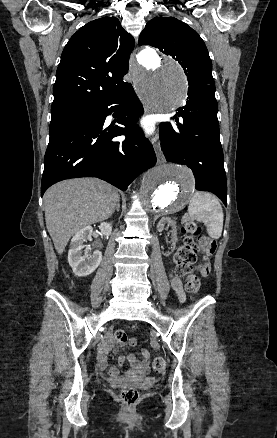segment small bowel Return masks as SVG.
<instances>
[{
  "label": "small bowel",
  "mask_w": 277,
  "mask_h": 438,
  "mask_svg": "<svg viewBox=\"0 0 277 438\" xmlns=\"http://www.w3.org/2000/svg\"><path fill=\"white\" fill-rule=\"evenodd\" d=\"M171 284H172V287L174 288V290L176 291L179 299L182 301L184 299V292H183L181 280L176 276H171ZM106 335H107L106 343L104 344V347L99 348V353H98V360H99L101 367L107 366V361L105 360V350H109L112 347L115 350H119V349L124 348V343L116 341L115 336H113L114 332L112 330H108L106 332ZM106 355H110V352H106ZM142 357H143V360L139 361L135 358V356H133V355L129 356V360H130L132 366L135 369H137L140 373H144L147 370V363H148V360L150 358L149 352L147 350H143ZM118 360H119V362L122 363L124 361V357L119 356ZM109 377L111 380L118 381L119 377H118L117 370L114 368L111 369L109 371Z\"/></svg>",
  "instance_id": "1"
}]
</instances>
